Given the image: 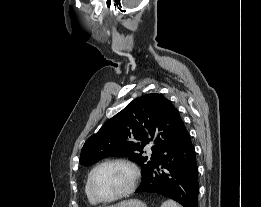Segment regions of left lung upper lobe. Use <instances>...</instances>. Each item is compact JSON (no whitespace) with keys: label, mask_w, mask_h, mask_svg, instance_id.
Listing matches in <instances>:
<instances>
[{"label":"left lung upper lobe","mask_w":261,"mask_h":207,"mask_svg":"<svg viewBox=\"0 0 261 207\" xmlns=\"http://www.w3.org/2000/svg\"><path fill=\"white\" fill-rule=\"evenodd\" d=\"M184 122L179 111L161 94H146L133 100L109 119L85 142L80 164L88 166L110 157H129L141 164L142 179L172 149ZM146 144L152 145L151 157L142 155Z\"/></svg>","instance_id":"obj_1"}]
</instances>
